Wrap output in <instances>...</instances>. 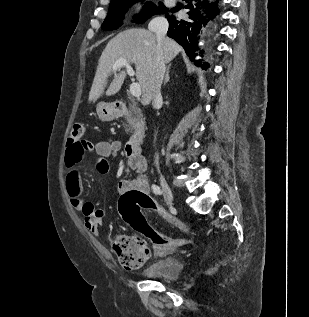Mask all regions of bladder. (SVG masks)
I'll return each mask as SVG.
<instances>
[{
	"mask_svg": "<svg viewBox=\"0 0 309 317\" xmlns=\"http://www.w3.org/2000/svg\"><path fill=\"white\" fill-rule=\"evenodd\" d=\"M183 270L182 262L176 257H166L149 265L143 275L150 279L176 280Z\"/></svg>",
	"mask_w": 309,
	"mask_h": 317,
	"instance_id": "bladder-1",
	"label": "bladder"
}]
</instances>
